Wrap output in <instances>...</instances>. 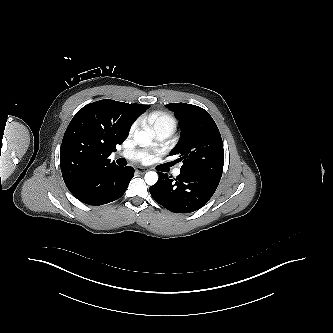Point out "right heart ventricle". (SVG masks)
Masks as SVG:
<instances>
[{
    "label": "right heart ventricle",
    "mask_w": 333,
    "mask_h": 333,
    "mask_svg": "<svg viewBox=\"0 0 333 333\" xmlns=\"http://www.w3.org/2000/svg\"><path fill=\"white\" fill-rule=\"evenodd\" d=\"M148 120L155 130L160 127H172L174 129L176 124L175 119L165 112H154L149 116Z\"/></svg>",
    "instance_id": "e07e8e85"
}]
</instances>
